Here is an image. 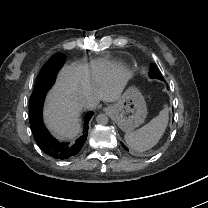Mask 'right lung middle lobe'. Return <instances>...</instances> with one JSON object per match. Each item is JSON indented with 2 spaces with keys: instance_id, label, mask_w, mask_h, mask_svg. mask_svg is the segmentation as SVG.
<instances>
[{
  "instance_id": "dd1d6c3e",
  "label": "right lung middle lobe",
  "mask_w": 208,
  "mask_h": 208,
  "mask_svg": "<svg viewBox=\"0 0 208 208\" xmlns=\"http://www.w3.org/2000/svg\"><path fill=\"white\" fill-rule=\"evenodd\" d=\"M52 57L53 58H57V57H65V56L63 54H61V53H57V54L53 55Z\"/></svg>"
}]
</instances>
